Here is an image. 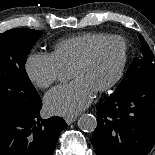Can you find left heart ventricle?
I'll list each match as a JSON object with an SVG mask.
<instances>
[{
  "instance_id": "b2bd125f",
  "label": "left heart ventricle",
  "mask_w": 155,
  "mask_h": 155,
  "mask_svg": "<svg viewBox=\"0 0 155 155\" xmlns=\"http://www.w3.org/2000/svg\"><path fill=\"white\" fill-rule=\"evenodd\" d=\"M122 60V45L118 41L102 44L91 61L83 67L70 70V78L85 83L94 92L108 83L116 74Z\"/></svg>"
}]
</instances>
